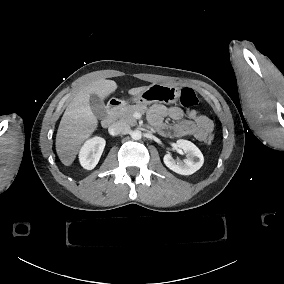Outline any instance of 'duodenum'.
<instances>
[{"instance_id":"obj_1","label":"duodenum","mask_w":284,"mask_h":284,"mask_svg":"<svg viewBox=\"0 0 284 284\" xmlns=\"http://www.w3.org/2000/svg\"><path fill=\"white\" fill-rule=\"evenodd\" d=\"M125 101L122 99L110 100L106 112L100 119L101 126L108 128L112 125L116 112L122 107Z\"/></svg>"}]
</instances>
